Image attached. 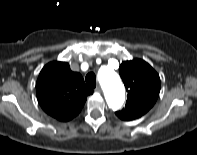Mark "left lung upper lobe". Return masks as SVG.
<instances>
[{
	"label": "left lung upper lobe",
	"instance_id": "1",
	"mask_svg": "<svg viewBox=\"0 0 197 155\" xmlns=\"http://www.w3.org/2000/svg\"><path fill=\"white\" fill-rule=\"evenodd\" d=\"M119 73L128 92L125 108L116 115L130 121L141 117L155 104L160 92V78L157 72L144 60L125 61Z\"/></svg>",
	"mask_w": 197,
	"mask_h": 155
}]
</instances>
